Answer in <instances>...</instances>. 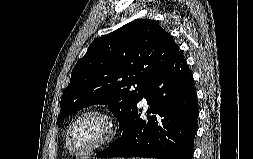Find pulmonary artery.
<instances>
[{"label":"pulmonary artery","instance_id":"pulmonary-artery-1","mask_svg":"<svg viewBox=\"0 0 253 159\" xmlns=\"http://www.w3.org/2000/svg\"><path fill=\"white\" fill-rule=\"evenodd\" d=\"M145 102H146V100H145V99H143L141 103H142V104H144Z\"/></svg>","mask_w":253,"mask_h":159}]
</instances>
